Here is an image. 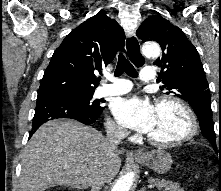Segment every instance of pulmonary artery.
<instances>
[{
  "mask_svg": "<svg viewBox=\"0 0 221 191\" xmlns=\"http://www.w3.org/2000/svg\"><path fill=\"white\" fill-rule=\"evenodd\" d=\"M157 73L151 67H144L140 72V79L143 82H152L156 79ZM111 79V78H110ZM113 83L104 84L96 92V97H108L127 93L132 88V83L127 79L113 78Z\"/></svg>",
  "mask_w": 221,
  "mask_h": 191,
  "instance_id": "pulmonary-artery-1",
  "label": "pulmonary artery"
}]
</instances>
